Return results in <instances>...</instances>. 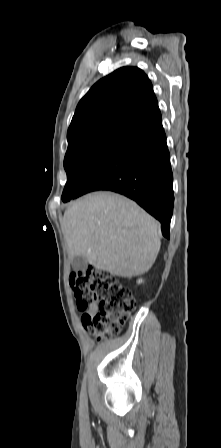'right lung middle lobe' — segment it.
<instances>
[{"mask_svg": "<svg viewBox=\"0 0 221 448\" xmlns=\"http://www.w3.org/2000/svg\"><path fill=\"white\" fill-rule=\"evenodd\" d=\"M117 141H99L78 146L66 152L64 168L67 173L62 201L77 198L79 193Z\"/></svg>", "mask_w": 221, "mask_h": 448, "instance_id": "1", "label": "right lung middle lobe"}]
</instances>
